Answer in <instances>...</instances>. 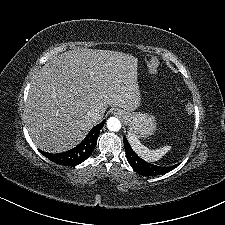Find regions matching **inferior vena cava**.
Segmentation results:
<instances>
[{"mask_svg":"<svg viewBox=\"0 0 225 225\" xmlns=\"http://www.w3.org/2000/svg\"><path fill=\"white\" fill-rule=\"evenodd\" d=\"M87 115L90 117L96 118L100 116V111L98 109H92L87 112Z\"/></svg>","mask_w":225,"mask_h":225,"instance_id":"1","label":"inferior vena cava"}]
</instances>
